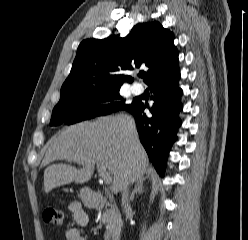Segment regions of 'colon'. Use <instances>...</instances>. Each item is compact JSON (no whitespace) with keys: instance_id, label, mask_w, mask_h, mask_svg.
<instances>
[{"instance_id":"1","label":"colon","mask_w":248,"mask_h":240,"mask_svg":"<svg viewBox=\"0 0 248 240\" xmlns=\"http://www.w3.org/2000/svg\"><path fill=\"white\" fill-rule=\"evenodd\" d=\"M63 212L55 207H48L43 212V219L46 223L59 226L63 223Z\"/></svg>"}]
</instances>
